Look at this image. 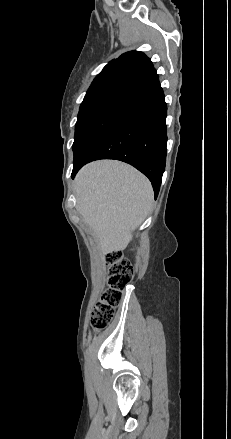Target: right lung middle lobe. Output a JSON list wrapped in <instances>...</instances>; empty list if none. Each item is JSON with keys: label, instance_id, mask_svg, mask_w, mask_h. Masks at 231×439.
<instances>
[{"label": "right lung middle lobe", "instance_id": "dd1d6c3e", "mask_svg": "<svg viewBox=\"0 0 231 439\" xmlns=\"http://www.w3.org/2000/svg\"><path fill=\"white\" fill-rule=\"evenodd\" d=\"M141 112L135 95L107 96L82 104L72 146L74 161L79 160L105 131Z\"/></svg>", "mask_w": 231, "mask_h": 439}]
</instances>
